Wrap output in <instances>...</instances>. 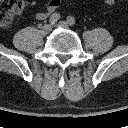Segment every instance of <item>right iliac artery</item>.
Masks as SVG:
<instances>
[{
    "label": "right iliac artery",
    "instance_id": "obj_1",
    "mask_svg": "<svg viewBox=\"0 0 128 128\" xmlns=\"http://www.w3.org/2000/svg\"><path fill=\"white\" fill-rule=\"evenodd\" d=\"M60 19V14L59 13H54L50 16L49 22L51 24H55L58 20Z\"/></svg>",
    "mask_w": 128,
    "mask_h": 128
}]
</instances>
